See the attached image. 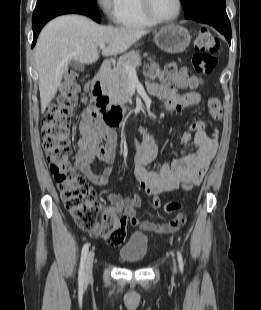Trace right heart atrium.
I'll return each instance as SVG.
<instances>
[{"label":"right heart atrium","instance_id":"right-heart-atrium-1","mask_svg":"<svg viewBox=\"0 0 261 310\" xmlns=\"http://www.w3.org/2000/svg\"><path fill=\"white\" fill-rule=\"evenodd\" d=\"M96 2L104 16L110 21H115L117 0H96Z\"/></svg>","mask_w":261,"mask_h":310}]
</instances>
